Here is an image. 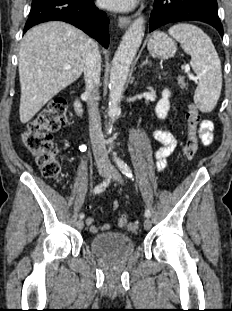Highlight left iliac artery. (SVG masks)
Instances as JSON below:
<instances>
[{"mask_svg":"<svg viewBox=\"0 0 232 311\" xmlns=\"http://www.w3.org/2000/svg\"><path fill=\"white\" fill-rule=\"evenodd\" d=\"M115 162H116L118 168L120 169V171L125 176H127L128 178L133 180V175H132V171H131L130 167L123 160H121L120 158H116ZM145 216L148 217V218L151 216L150 210L146 209Z\"/></svg>","mask_w":232,"mask_h":311,"instance_id":"obj_1","label":"left iliac artery"}]
</instances>
